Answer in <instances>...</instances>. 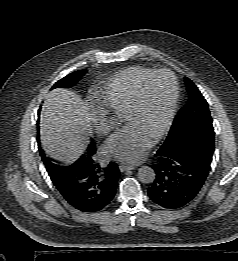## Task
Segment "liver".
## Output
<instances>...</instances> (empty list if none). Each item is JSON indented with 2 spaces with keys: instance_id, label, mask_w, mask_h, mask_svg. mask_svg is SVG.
<instances>
[{
  "instance_id": "liver-1",
  "label": "liver",
  "mask_w": 238,
  "mask_h": 261,
  "mask_svg": "<svg viewBox=\"0 0 238 261\" xmlns=\"http://www.w3.org/2000/svg\"><path fill=\"white\" fill-rule=\"evenodd\" d=\"M91 135V113L79 95L66 89L46 94L40 116V138L52 158L75 161L87 148Z\"/></svg>"
}]
</instances>
